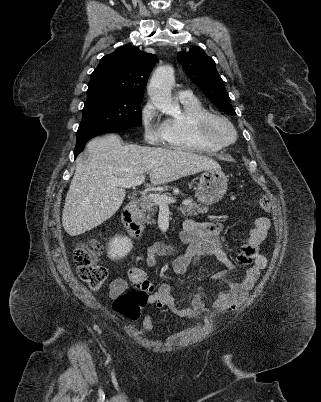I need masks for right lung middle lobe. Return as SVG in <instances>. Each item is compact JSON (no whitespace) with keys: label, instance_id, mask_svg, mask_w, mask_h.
I'll use <instances>...</instances> for the list:
<instances>
[{"label":"right lung middle lobe","instance_id":"dd1d6c3e","mask_svg":"<svg viewBox=\"0 0 321 402\" xmlns=\"http://www.w3.org/2000/svg\"><path fill=\"white\" fill-rule=\"evenodd\" d=\"M142 99L107 91H87V100L77 134L140 126Z\"/></svg>","mask_w":321,"mask_h":402}]
</instances>
